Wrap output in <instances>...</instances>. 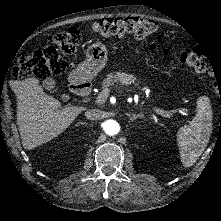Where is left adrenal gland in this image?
Wrapping results in <instances>:
<instances>
[{
	"mask_svg": "<svg viewBox=\"0 0 221 221\" xmlns=\"http://www.w3.org/2000/svg\"><path fill=\"white\" fill-rule=\"evenodd\" d=\"M128 116H129V119H130V121H134L135 119H137L138 117H142L141 115H139V114H133V115H130V114H128Z\"/></svg>",
	"mask_w": 221,
	"mask_h": 221,
	"instance_id": "a2214340",
	"label": "left adrenal gland"
}]
</instances>
